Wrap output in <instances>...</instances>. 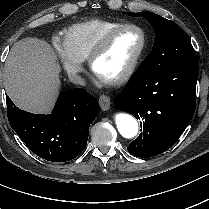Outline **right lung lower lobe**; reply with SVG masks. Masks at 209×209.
Wrapping results in <instances>:
<instances>
[{
    "mask_svg": "<svg viewBox=\"0 0 209 209\" xmlns=\"http://www.w3.org/2000/svg\"><path fill=\"white\" fill-rule=\"evenodd\" d=\"M6 102L12 129L33 153L51 162L69 161L85 149L89 126L100 109L82 88L61 92L49 115L20 110L8 96Z\"/></svg>",
    "mask_w": 209,
    "mask_h": 209,
    "instance_id": "98d812e1",
    "label": "right lung lower lobe"
}]
</instances>
